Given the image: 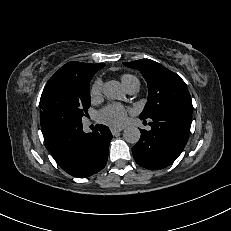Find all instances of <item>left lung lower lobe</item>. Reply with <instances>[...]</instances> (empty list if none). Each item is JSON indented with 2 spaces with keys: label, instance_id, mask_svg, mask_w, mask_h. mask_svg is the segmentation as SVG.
<instances>
[{
  "label": "left lung lower lobe",
  "instance_id": "0a47b994",
  "mask_svg": "<svg viewBox=\"0 0 231 231\" xmlns=\"http://www.w3.org/2000/svg\"><path fill=\"white\" fill-rule=\"evenodd\" d=\"M150 119L151 130H140L141 138L132 147V153L138 165L159 170L171 165L183 151L189 137L192 113L166 110Z\"/></svg>",
  "mask_w": 231,
  "mask_h": 231
}]
</instances>
